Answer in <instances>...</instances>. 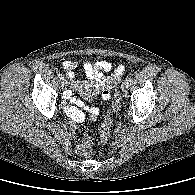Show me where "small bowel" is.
Instances as JSON below:
<instances>
[{
    "label": "small bowel",
    "mask_w": 195,
    "mask_h": 195,
    "mask_svg": "<svg viewBox=\"0 0 195 195\" xmlns=\"http://www.w3.org/2000/svg\"><path fill=\"white\" fill-rule=\"evenodd\" d=\"M77 65L75 61H66L63 64L71 88L77 90L86 98L100 94L103 101H108L110 99L109 90L111 86L118 81L124 71V66L118 65L112 75L104 76L103 71L107 72L112 69L111 62L107 60L86 62L83 65V69L89 81H77L74 79V70ZM63 97L69 103L65 106V112L72 123L84 121L85 113L82 109L93 119H96L101 114V110L97 107H85L81 100H77L73 97L70 90L66 91Z\"/></svg>",
    "instance_id": "c3829d8e"
}]
</instances>
